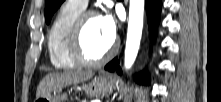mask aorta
<instances>
[{
    "label": "aorta",
    "instance_id": "1",
    "mask_svg": "<svg viewBox=\"0 0 221 102\" xmlns=\"http://www.w3.org/2000/svg\"><path fill=\"white\" fill-rule=\"evenodd\" d=\"M144 0H130L129 21L124 55L125 69H130L134 64L142 36Z\"/></svg>",
    "mask_w": 221,
    "mask_h": 102
}]
</instances>
